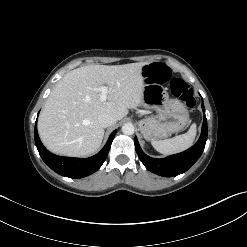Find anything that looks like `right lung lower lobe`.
<instances>
[{"label":"right lung lower lobe","mask_w":247,"mask_h":247,"mask_svg":"<svg viewBox=\"0 0 247 247\" xmlns=\"http://www.w3.org/2000/svg\"><path fill=\"white\" fill-rule=\"evenodd\" d=\"M115 134L116 130L111 133L103 149L92 157L85 159L62 157L52 154L43 146L37 132V120L35 124V144L41 158L56 173L70 178H83L96 172L103 164Z\"/></svg>","instance_id":"obj_1"}]
</instances>
